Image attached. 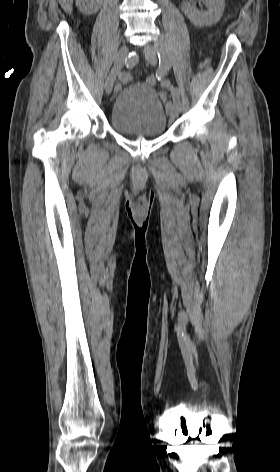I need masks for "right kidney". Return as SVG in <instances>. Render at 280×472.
<instances>
[{"label":"right kidney","mask_w":280,"mask_h":472,"mask_svg":"<svg viewBox=\"0 0 280 472\" xmlns=\"http://www.w3.org/2000/svg\"><path fill=\"white\" fill-rule=\"evenodd\" d=\"M79 10L85 15L96 13L101 7L102 0H76Z\"/></svg>","instance_id":"right-kidney-1"}]
</instances>
